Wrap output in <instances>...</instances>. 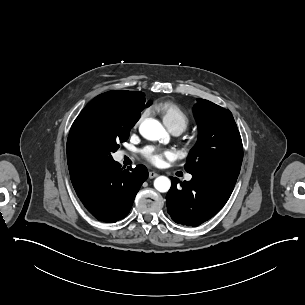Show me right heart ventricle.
I'll use <instances>...</instances> for the list:
<instances>
[{"mask_svg": "<svg viewBox=\"0 0 305 305\" xmlns=\"http://www.w3.org/2000/svg\"><path fill=\"white\" fill-rule=\"evenodd\" d=\"M154 108L160 114L169 130L174 127H180L184 131L190 126L188 115L178 105L171 102H160L156 103Z\"/></svg>", "mask_w": 305, "mask_h": 305, "instance_id": "obj_1", "label": "right heart ventricle"}]
</instances>
